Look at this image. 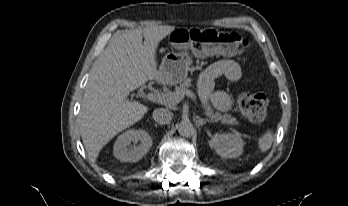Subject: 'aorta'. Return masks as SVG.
<instances>
[{
	"label": "aorta",
	"mask_w": 348,
	"mask_h": 206,
	"mask_svg": "<svg viewBox=\"0 0 348 206\" xmlns=\"http://www.w3.org/2000/svg\"><path fill=\"white\" fill-rule=\"evenodd\" d=\"M178 132L184 137H190L194 132V127L189 120H182L178 125Z\"/></svg>",
	"instance_id": "aorta-1"
}]
</instances>
